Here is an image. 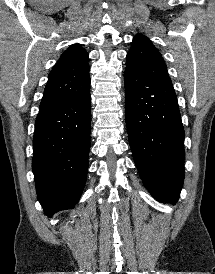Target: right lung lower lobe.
Segmentation results:
<instances>
[{
	"label": "right lung lower lobe",
	"mask_w": 215,
	"mask_h": 274,
	"mask_svg": "<svg viewBox=\"0 0 215 274\" xmlns=\"http://www.w3.org/2000/svg\"><path fill=\"white\" fill-rule=\"evenodd\" d=\"M90 83L73 97L39 109L33 138L32 170L37 197L48 216L74 208L88 170Z\"/></svg>",
	"instance_id": "98d812e1"
}]
</instances>
